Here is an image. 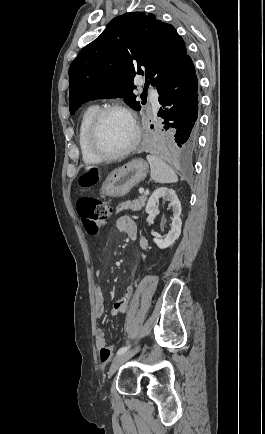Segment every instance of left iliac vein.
Here are the masks:
<instances>
[{"label": "left iliac vein", "mask_w": 265, "mask_h": 434, "mask_svg": "<svg viewBox=\"0 0 265 434\" xmlns=\"http://www.w3.org/2000/svg\"><path fill=\"white\" fill-rule=\"evenodd\" d=\"M136 352L137 349H133L131 351L116 356L110 366V375H113L118 370V368Z\"/></svg>", "instance_id": "4c4485c4"}]
</instances>
